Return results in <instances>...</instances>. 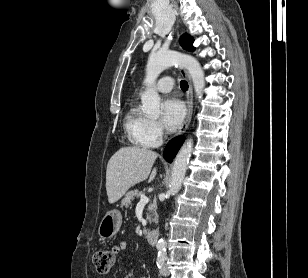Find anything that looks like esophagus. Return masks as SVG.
<instances>
[{
  "mask_svg": "<svg viewBox=\"0 0 308 278\" xmlns=\"http://www.w3.org/2000/svg\"><path fill=\"white\" fill-rule=\"evenodd\" d=\"M180 73L183 77H185V79L188 82V90H187V93H186L187 115H186V118H185L182 126L180 127L177 135H181L187 130V128H188V126L191 122L192 114H193V86H192V81H191V78H190L187 70L182 68L180 70Z\"/></svg>",
  "mask_w": 308,
  "mask_h": 278,
  "instance_id": "obj_1",
  "label": "esophagus"
}]
</instances>
